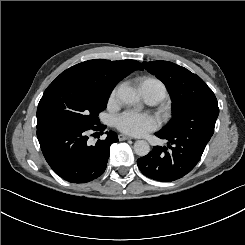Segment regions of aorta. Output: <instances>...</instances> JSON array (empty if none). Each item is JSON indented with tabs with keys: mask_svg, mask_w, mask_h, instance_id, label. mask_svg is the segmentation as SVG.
<instances>
[{
	"mask_svg": "<svg viewBox=\"0 0 245 245\" xmlns=\"http://www.w3.org/2000/svg\"><path fill=\"white\" fill-rule=\"evenodd\" d=\"M117 96L121 102L126 105H135L140 101L137 92L129 86H121L117 91ZM134 151L139 156H146L150 152L149 144L144 140H138L134 143Z\"/></svg>",
	"mask_w": 245,
	"mask_h": 245,
	"instance_id": "1",
	"label": "aorta"
}]
</instances>
